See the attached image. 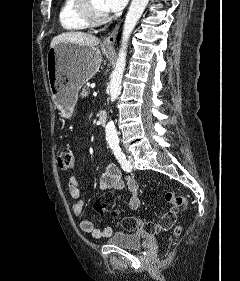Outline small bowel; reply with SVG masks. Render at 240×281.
Returning a JSON list of instances; mask_svg holds the SVG:
<instances>
[{
    "instance_id": "c3829d8e",
    "label": "small bowel",
    "mask_w": 240,
    "mask_h": 281,
    "mask_svg": "<svg viewBox=\"0 0 240 281\" xmlns=\"http://www.w3.org/2000/svg\"><path fill=\"white\" fill-rule=\"evenodd\" d=\"M125 187H127L130 193L128 199L129 208H139V206L141 205V198L138 193V184L136 180L130 175L122 178V173L116 165H107L99 181L100 190L103 192H107L110 190L121 191ZM68 190L70 196L75 200L72 204V212L75 217L80 219V229L85 233L91 234L92 237L96 239L109 237L112 234V228H96L90 220L83 218L84 194L82 192L81 182L77 176L70 177L68 182Z\"/></svg>"
}]
</instances>
